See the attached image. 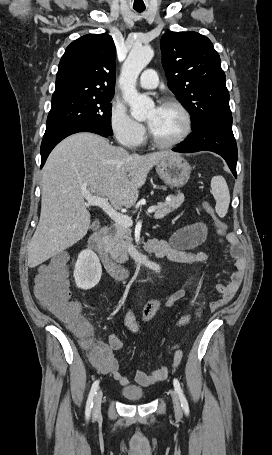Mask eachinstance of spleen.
<instances>
[{"label": "spleen", "instance_id": "obj_1", "mask_svg": "<svg viewBox=\"0 0 272 455\" xmlns=\"http://www.w3.org/2000/svg\"><path fill=\"white\" fill-rule=\"evenodd\" d=\"M211 193L216 201L215 210L220 218L225 217L230 204L228 185L222 176H215L211 180Z\"/></svg>", "mask_w": 272, "mask_h": 455}]
</instances>
